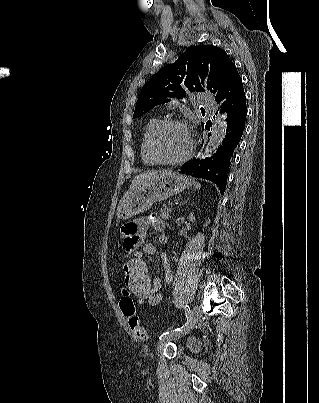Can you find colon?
Listing matches in <instances>:
<instances>
[{"mask_svg": "<svg viewBox=\"0 0 319 403\" xmlns=\"http://www.w3.org/2000/svg\"><path fill=\"white\" fill-rule=\"evenodd\" d=\"M135 242H137L136 239ZM129 253L134 254V259L128 260L127 256H124L122 276H125L128 291L135 296V303H133L132 296H118L117 304L123 317L122 323L129 325L130 336H135L137 340L145 341L148 339V335L140 322L136 309H146V300H151L154 276L149 274L146 259L141 258V249H130ZM123 291L127 292V289Z\"/></svg>", "mask_w": 319, "mask_h": 403, "instance_id": "1", "label": "colon"}]
</instances>
